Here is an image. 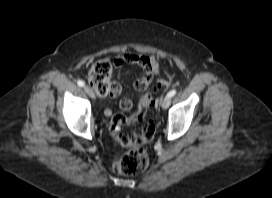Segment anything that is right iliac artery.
Wrapping results in <instances>:
<instances>
[{
  "label": "right iliac artery",
  "mask_w": 272,
  "mask_h": 198,
  "mask_svg": "<svg viewBox=\"0 0 272 198\" xmlns=\"http://www.w3.org/2000/svg\"><path fill=\"white\" fill-rule=\"evenodd\" d=\"M77 84H78V86H80V87H83V86L85 85V83H84L83 81H81V80H79V81L77 82Z\"/></svg>",
  "instance_id": "1"
}]
</instances>
